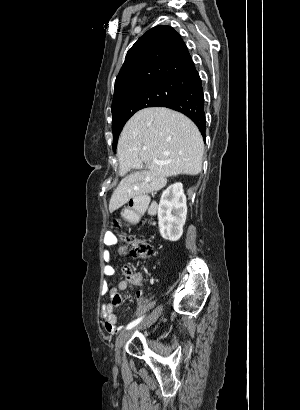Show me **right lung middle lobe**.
<instances>
[{"mask_svg":"<svg viewBox=\"0 0 300 410\" xmlns=\"http://www.w3.org/2000/svg\"><path fill=\"white\" fill-rule=\"evenodd\" d=\"M182 82H164L141 86L127 90L115 101L116 109L112 112L113 150L123 126L138 110L161 106L173 99L186 85Z\"/></svg>","mask_w":300,"mask_h":410,"instance_id":"1","label":"right lung middle lobe"}]
</instances>
